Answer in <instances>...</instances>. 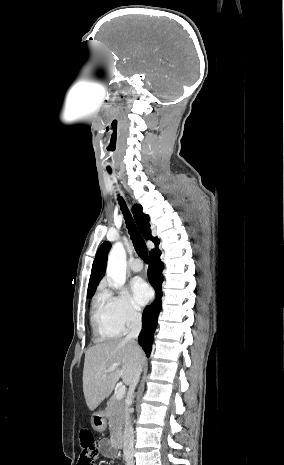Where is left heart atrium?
Wrapping results in <instances>:
<instances>
[{"instance_id": "39dd6f15", "label": "left heart atrium", "mask_w": 284, "mask_h": 465, "mask_svg": "<svg viewBox=\"0 0 284 465\" xmlns=\"http://www.w3.org/2000/svg\"><path fill=\"white\" fill-rule=\"evenodd\" d=\"M151 298L149 286L141 279L136 278L130 284V300L137 308H142Z\"/></svg>"}]
</instances>
